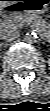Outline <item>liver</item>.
Returning a JSON list of instances; mask_svg holds the SVG:
<instances>
[{
	"label": "liver",
	"instance_id": "1",
	"mask_svg": "<svg viewBox=\"0 0 50 111\" xmlns=\"http://www.w3.org/2000/svg\"><path fill=\"white\" fill-rule=\"evenodd\" d=\"M12 4H14L13 1L4 0V1L0 2V7L1 8H5V7H8V6L12 5Z\"/></svg>",
	"mask_w": 50,
	"mask_h": 111
}]
</instances>
